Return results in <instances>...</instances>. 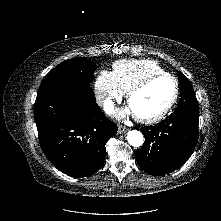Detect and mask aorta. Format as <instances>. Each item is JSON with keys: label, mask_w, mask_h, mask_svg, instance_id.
Wrapping results in <instances>:
<instances>
[{"label": "aorta", "mask_w": 221, "mask_h": 221, "mask_svg": "<svg viewBox=\"0 0 221 221\" xmlns=\"http://www.w3.org/2000/svg\"><path fill=\"white\" fill-rule=\"evenodd\" d=\"M127 141L133 147H140L144 143V137L140 131L131 130L127 133Z\"/></svg>", "instance_id": "obj_1"}]
</instances>
